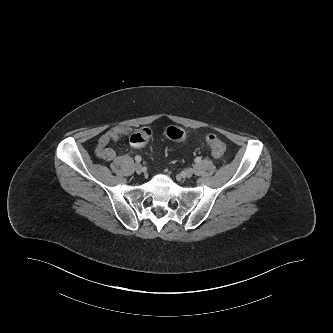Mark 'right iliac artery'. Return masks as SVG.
<instances>
[{
    "instance_id": "obj_1",
    "label": "right iliac artery",
    "mask_w": 333,
    "mask_h": 333,
    "mask_svg": "<svg viewBox=\"0 0 333 333\" xmlns=\"http://www.w3.org/2000/svg\"><path fill=\"white\" fill-rule=\"evenodd\" d=\"M142 160L141 156L137 155L135 156V161L136 162H140Z\"/></svg>"
}]
</instances>
